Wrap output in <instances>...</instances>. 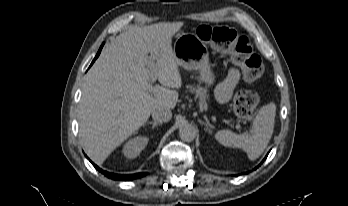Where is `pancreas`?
Instances as JSON below:
<instances>
[{"instance_id": "1", "label": "pancreas", "mask_w": 348, "mask_h": 206, "mask_svg": "<svg viewBox=\"0 0 348 206\" xmlns=\"http://www.w3.org/2000/svg\"><path fill=\"white\" fill-rule=\"evenodd\" d=\"M188 90L192 93H195V96L199 98V105L203 108L207 107V99H208V94L205 88L197 86H187Z\"/></svg>"}]
</instances>
